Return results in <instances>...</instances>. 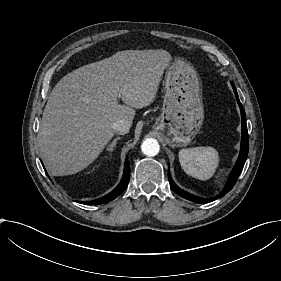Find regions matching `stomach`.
I'll list each match as a JSON object with an SVG mask.
<instances>
[{
    "instance_id": "obj_1",
    "label": "stomach",
    "mask_w": 281,
    "mask_h": 281,
    "mask_svg": "<svg viewBox=\"0 0 281 281\" xmlns=\"http://www.w3.org/2000/svg\"><path fill=\"white\" fill-rule=\"evenodd\" d=\"M162 113L154 125L171 147L187 146L199 132L204 109L202 84L189 62L176 58L166 68Z\"/></svg>"
}]
</instances>
